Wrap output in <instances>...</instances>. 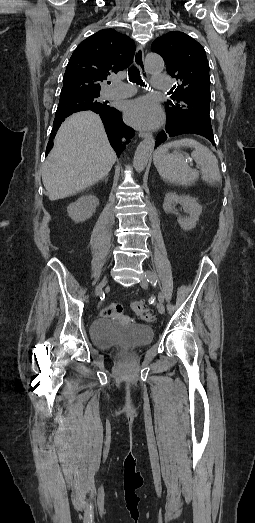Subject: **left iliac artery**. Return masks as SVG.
Wrapping results in <instances>:
<instances>
[{
    "mask_svg": "<svg viewBox=\"0 0 255 523\" xmlns=\"http://www.w3.org/2000/svg\"><path fill=\"white\" fill-rule=\"evenodd\" d=\"M147 281L150 282V283L153 284V285H156V283H157V279L154 278V276L152 275V273H149V274L147 275ZM158 300H159L160 302H163V301H164V297H163V295H162L161 293L158 294Z\"/></svg>",
    "mask_w": 255,
    "mask_h": 523,
    "instance_id": "left-iliac-artery-1",
    "label": "left iliac artery"
}]
</instances>
